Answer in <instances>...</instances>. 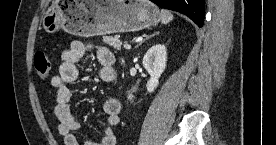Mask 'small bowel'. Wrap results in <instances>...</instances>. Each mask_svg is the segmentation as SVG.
I'll return each instance as SVG.
<instances>
[{
  "label": "small bowel",
  "instance_id": "1",
  "mask_svg": "<svg viewBox=\"0 0 276 145\" xmlns=\"http://www.w3.org/2000/svg\"><path fill=\"white\" fill-rule=\"evenodd\" d=\"M90 48L91 46L83 41H72L69 49L62 53L58 74L51 80L52 86L57 90L54 114L65 145H79L74 132L81 128V124L75 119L70 106L72 96L70 85L78 79V64ZM96 55L101 64L100 78L104 82L115 81L118 73L114 67L116 60L114 54L108 48L98 47ZM103 110L107 116V122L102 129L100 143L95 144L86 140L83 145H116L114 128L120 123V103L116 98H107L104 101Z\"/></svg>",
  "mask_w": 276,
  "mask_h": 145
}]
</instances>
